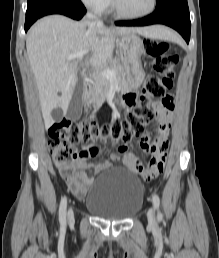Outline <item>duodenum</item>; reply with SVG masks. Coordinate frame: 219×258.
<instances>
[{
	"label": "duodenum",
	"mask_w": 219,
	"mask_h": 258,
	"mask_svg": "<svg viewBox=\"0 0 219 258\" xmlns=\"http://www.w3.org/2000/svg\"><path fill=\"white\" fill-rule=\"evenodd\" d=\"M92 94V87L91 85L87 84L85 87H84V100L87 102L90 95Z\"/></svg>",
	"instance_id": "obj_1"
}]
</instances>
